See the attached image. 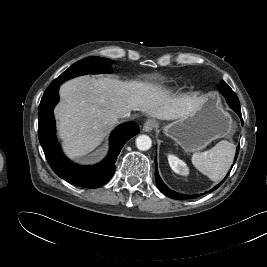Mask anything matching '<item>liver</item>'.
Wrapping results in <instances>:
<instances>
[{"label":"liver","instance_id":"6515ba94","mask_svg":"<svg viewBox=\"0 0 267 267\" xmlns=\"http://www.w3.org/2000/svg\"><path fill=\"white\" fill-rule=\"evenodd\" d=\"M54 114L63 148L71 158L84 156L104 140L121 115L141 111L160 120H175L194 112L203 99L175 96L160 85L80 76L60 87Z\"/></svg>","mask_w":267,"mask_h":267}]
</instances>
